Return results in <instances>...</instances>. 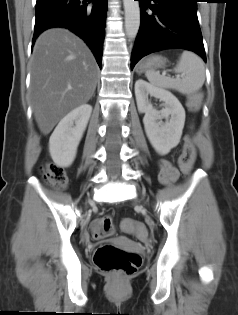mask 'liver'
I'll use <instances>...</instances> for the list:
<instances>
[{
    "label": "liver",
    "mask_w": 238,
    "mask_h": 315,
    "mask_svg": "<svg viewBox=\"0 0 238 315\" xmlns=\"http://www.w3.org/2000/svg\"><path fill=\"white\" fill-rule=\"evenodd\" d=\"M98 67L87 45L67 29L43 32L31 63V100L40 131L47 135L71 110L93 96Z\"/></svg>",
    "instance_id": "6515ba94"
}]
</instances>
